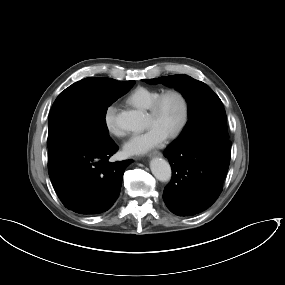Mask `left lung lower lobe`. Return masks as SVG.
<instances>
[{
    "mask_svg": "<svg viewBox=\"0 0 285 285\" xmlns=\"http://www.w3.org/2000/svg\"><path fill=\"white\" fill-rule=\"evenodd\" d=\"M231 143L227 139L202 138L164 151L173 177L165 187L163 200L178 216H191L209 208L222 191L230 163Z\"/></svg>",
    "mask_w": 285,
    "mask_h": 285,
    "instance_id": "0a47b994",
    "label": "left lung lower lobe"
}]
</instances>
